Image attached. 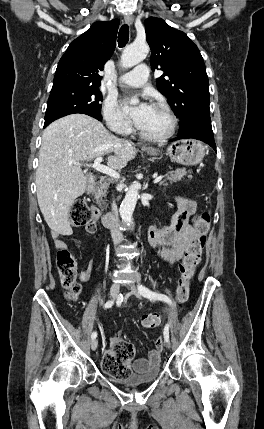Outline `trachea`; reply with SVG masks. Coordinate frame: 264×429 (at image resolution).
<instances>
[{"label": "trachea", "mask_w": 264, "mask_h": 429, "mask_svg": "<svg viewBox=\"0 0 264 429\" xmlns=\"http://www.w3.org/2000/svg\"><path fill=\"white\" fill-rule=\"evenodd\" d=\"M129 41V27L127 24L122 25L118 33L119 47H124Z\"/></svg>", "instance_id": "obj_1"}]
</instances>
